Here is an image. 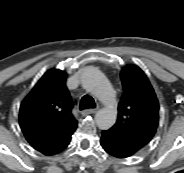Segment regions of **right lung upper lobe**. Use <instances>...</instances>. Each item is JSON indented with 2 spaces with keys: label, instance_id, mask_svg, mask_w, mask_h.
Listing matches in <instances>:
<instances>
[{
  "label": "right lung upper lobe",
  "instance_id": "obj_1",
  "mask_svg": "<svg viewBox=\"0 0 184 173\" xmlns=\"http://www.w3.org/2000/svg\"><path fill=\"white\" fill-rule=\"evenodd\" d=\"M73 102L66 87V73L47 71L23 100L19 124L30 145L52 155L71 138L77 127Z\"/></svg>",
  "mask_w": 184,
  "mask_h": 173
}]
</instances>
